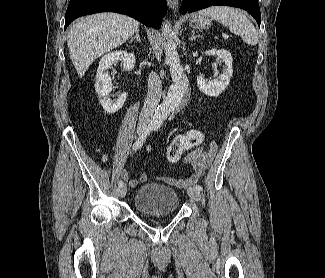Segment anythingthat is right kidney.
Wrapping results in <instances>:
<instances>
[{
    "label": "right kidney",
    "mask_w": 325,
    "mask_h": 278,
    "mask_svg": "<svg viewBox=\"0 0 325 278\" xmlns=\"http://www.w3.org/2000/svg\"><path fill=\"white\" fill-rule=\"evenodd\" d=\"M121 61V64L127 71H131L135 65V56L125 50H117L104 55L97 69L95 91L98 94L99 102L105 112L115 113L120 110L126 101L127 93H122L118 99L109 98L112 90L111 77L106 72L113 64Z\"/></svg>",
    "instance_id": "right-kidney-1"
}]
</instances>
